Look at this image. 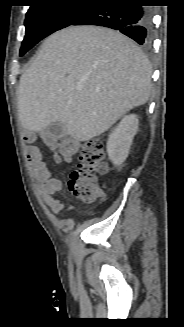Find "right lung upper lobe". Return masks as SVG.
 Listing matches in <instances>:
<instances>
[{"label":"right lung upper lobe","instance_id":"right-lung-upper-lobe-1","mask_svg":"<svg viewBox=\"0 0 184 327\" xmlns=\"http://www.w3.org/2000/svg\"><path fill=\"white\" fill-rule=\"evenodd\" d=\"M34 3H41V2H45V1H50V0H32ZM33 6V5H32ZM30 6V7H32Z\"/></svg>","mask_w":184,"mask_h":327}]
</instances>
